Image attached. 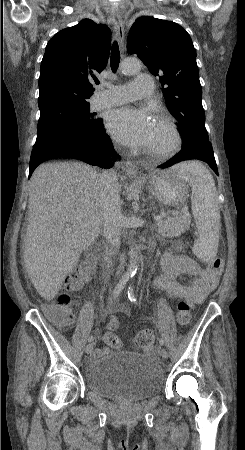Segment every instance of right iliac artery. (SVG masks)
Listing matches in <instances>:
<instances>
[{
    "label": "right iliac artery",
    "mask_w": 245,
    "mask_h": 450,
    "mask_svg": "<svg viewBox=\"0 0 245 450\" xmlns=\"http://www.w3.org/2000/svg\"><path fill=\"white\" fill-rule=\"evenodd\" d=\"M128 280H129V275H124L121 278V280L119 281V283L117 284V286H116V288H115V290L113 292V298H116L121 293V291L125 287V285L128 282ZM92 340H93V336H90L88 338V341L91 342Z\"/></svg>",
    "instance_id": "1"
}]
</instances>
